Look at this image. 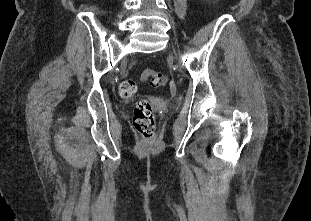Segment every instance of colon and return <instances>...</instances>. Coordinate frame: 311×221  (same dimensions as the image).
<instances>
[{
	"label": "colon",
	"mask_w": 311,
	"mask_h": 221,
	"mask_svg": "<svg viewBox=\"0 0 311 221\" xmlns=\"http://www.w3.org/2000/svg\"><path fill=\"white\" fill-rule=\"evenodd\" d=\"M143 80H149L153 87H165L168 84V77L153 70H146L142 75ZM138 89L133 78L124 79L120 85V95L123 98H131ZM133 124L139 134L144 136V141H155V119L152 105L146 98H139L134 107Z\"/></svg>",
	"instance_id": "5ec220e1"
}]
</instances>
